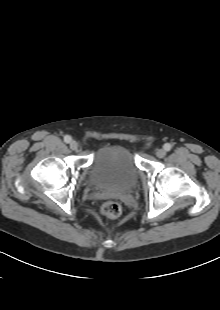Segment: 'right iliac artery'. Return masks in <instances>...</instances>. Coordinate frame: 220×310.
<instances>
[{
  "instance_id": "right-iliac-artery-1",
  "label": "right iliac artery",
  "mask_w": 220,
  "mask_h": 310,
  "mask_svg": "<svg viewBox=\"0 0 220 310\" xmlns=\"http://www.w3.org/2000/svg\"><path fill=\"white\" fill-rule=\"evenodd\" d=\"M71 140H72V138H71V136H69V135H66V136L64 137V141H65L66 143H70Z\"/></svg>"
}]
</instances>
